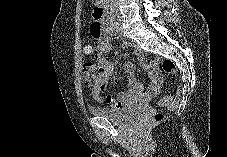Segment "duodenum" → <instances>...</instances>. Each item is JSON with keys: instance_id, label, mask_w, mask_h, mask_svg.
I'll list each match as a JSON object with an SVG mask.
<instances>
[{"instance_id": "duodenum-1", "label": "duodenum", "mask_w": 227, "mask_h": 157, "mask_svg": "<svg viewBox=\"0 0 227 157\" xmlns=\"http://www.w3.org/2000/svg\"><path fill=\"white\" fill-rule=\"evenodd\" d=\"M105 5L99 6L95 11V16H92L94 25H91L92 32H109L110 28L105 21Z\"/></svg>"}]
</instances>
